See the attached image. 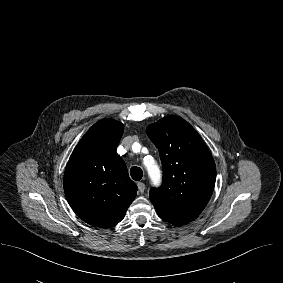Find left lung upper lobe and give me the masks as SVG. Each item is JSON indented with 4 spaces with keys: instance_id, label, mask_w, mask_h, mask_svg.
I'll return each instance as SVG.
<instances>
[{
    "instance_id": "5c2ea615",
    "label": "left lung upper lobe",
    "mask_w": 283,
    "mask_h": 283,
    "mask_svg": "<svg viewBox=\"0 0 283 283\" xmlns=\"http://www.w3.org/2000/svg\"><path fill=\"white\" fill-rule=\"evenodd\" d=\"M159 149L163 183L150 190L160 218L177 226L196 219L211 198L214 159L197 131L184 119L168 116L146 129Z\"/></svg>"
}]
</instances>
